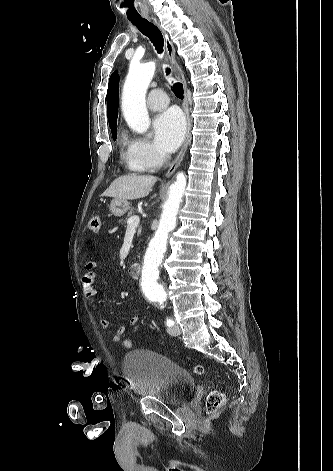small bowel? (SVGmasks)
Returning a JSON list of instances; mask_svg holds the SVG:
<instances>
[{"instance_id": "small-bowel-1", "label": "small bowel", "mask_w": 333, "mask_h": 471, "mask_svg": "<svg viewBox=\"0 0 333 471\" xmlns=\"http://www.w3.org/2000/svg\"><path fill=\"white\" fill-rule=\"evenodd\" d=\"M99 264L100 263L98 260H95V259L89 260L85 266V273L83 274L81 278V286H82L83 292L89 299L95 298L97 294V290L95 287V276H96V269L99 267ZM139 321L140 319L138 316H133L130 319V324L134 326V325H137ZM99 324L103 330H107L110 328V322L104 316L100 317ZM125 332H126V327L119 326L112 335V341L116 343L121 342Z\"/></svg>"}]
</instances>
